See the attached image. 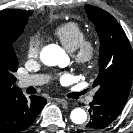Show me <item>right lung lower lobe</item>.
<instances>
[{"label": "right lung lower lobe", "mask_w": 133, "mask_h": 133, "mask_svg": "<svg viewBox=\"0 0 133 133\" xmlns=\"http://www.w3.org/2000/svg\"><path fill=\"white\" fill-rule=\"evenodd\" d=\"M47 103L45 98L31 96L27 99L19 89L0 104V132L19 133L26 130Z\"/></svg>", "instance_id": "right-lung-lower-lobe-1"}]
</instances>
